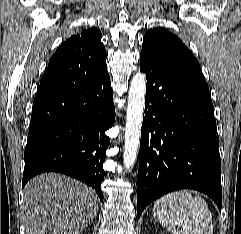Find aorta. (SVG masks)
<instances>
[{"label": "aorta", "instance_id": "obj_1", "mask_svg": "<svg viewBox=\"0 0 241 234\" xmlns=\"http://www.w3.org/2000/svg\"><path fill=\"white\" fill-rule=\"evenodd\" d=\"M146 78L136 73L130 83L126 111L123 163L126 169L135 164L140 145L143 109L145 105Z\"/></svg>", "mask_w": 241, "mask_h": 234}]
</instances>
